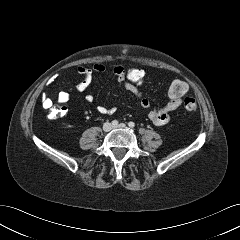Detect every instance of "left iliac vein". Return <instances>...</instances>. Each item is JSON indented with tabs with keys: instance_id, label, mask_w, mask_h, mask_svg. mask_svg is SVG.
Returning <instances> with one entry per match:
<instances>
[{
	"instance_id": "left-iliac-vein-1",
	"label": "left iliac vein",
	"mask_w": 240,
	"mask_h": 240,
	"mask_svg": "<svg viewBox=\"0 0 240 240\" xmlns=\"http://www.w3.org/2000/svg\"><path fill=\"white\" fill-rule=\"evenodd\" d=\"M126 125L124 123H121L119 125L113 126V128H125Z\"/></svg>"
}]
</instances>
